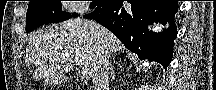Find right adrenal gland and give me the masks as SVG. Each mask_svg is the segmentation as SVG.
<instances>
[{
  "mask_svg": "<svg viewBox=\"0 0 216 90\" xmlns=\"http://www.w3.org/2000/svg\"><path fill=\"white\" fill-rule=\"evenodd\" d=\"M110 70H111L112 80H115V70H114L113 66H110Z\"/></svg>",
  "mask_w": 216,
  "mask_h": 90,
  "instance_id": "2a0ac1e0",
  "label": "right adrenal gland"
}]
</instances>
